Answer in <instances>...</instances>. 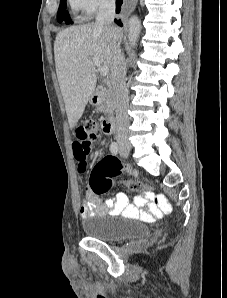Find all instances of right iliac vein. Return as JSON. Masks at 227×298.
<instances>
[{"label": "right iliac vein", "instance_id": "63e3f726", "mask_svg": "<svg viewBox=\"0 0 227 298\" xmlns=\"http://www.w3.org/2000/svg\"><path fill=\"white\" fill-rule=\"evenodd\" d=\"M125 149H129V146H123Z\"/></svg>", "mask_w": 227, "mask_h": 298}]
</instances>
